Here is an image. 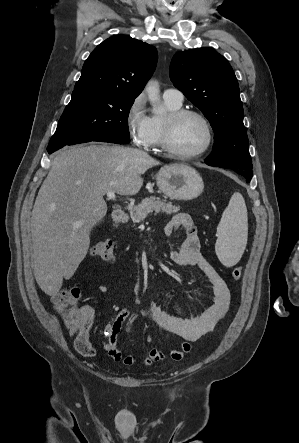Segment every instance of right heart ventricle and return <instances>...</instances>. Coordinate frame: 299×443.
I'll return each instance as SVG.
<instances>
[{"mask_svg": "<svg viewBox=\"0 0 299 443\" xmlns=\"http://www.w3.org/2000/svg\"><path fill=\"white\" fill-rule=\"evenodd\" d=\"M164 103L169 112L181 109L182 106V104H176L166 99H164ZM150 119H151V135L145 148L153 151H159L163 117L154 115L150 117Z\"/></svg>", "mask_w": 299, "mask_h": 443, "instance_id": "obj_1", "label": "right heart ventricle"}]
</instances>
